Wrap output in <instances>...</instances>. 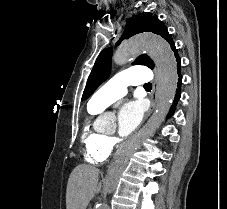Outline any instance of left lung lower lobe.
I'll return each instance as SVG.
<instances>
[{
	"instance_id": "left-lung-lower-lobe-1",
	"label": "left lung lower lobe",
	"mask_w": 227,
	"mask_h": 209,
	"mask_svg": "<svg viewBox=\"0 0 227 209\" xmlns=\"http://www.w3.org/2000/svg\"><path fill=\"white\" fill-rule=\"evenodd\" d=\"M173 52L175 53V57H176V61H177V70H178V75H179V79H178V89L176 90V94H175V99L173 101V106L170 109V113L168 114L167 118L171 117L173 115V112L175 110V105L177 104L178 100L180 99V85H181V80H182V76H181V67H180V58L178 56V52L174 47H172Z\"/></svg>"
}]
</instances>
